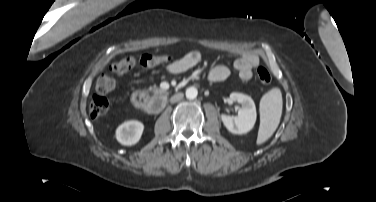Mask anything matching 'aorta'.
<instances>
[{
    "label": "aorta",
    "mask_w": 376,
    "mask_h": 202,
    "mask_svg": "<svg viewBox=\"0 0 376 202\" xmlns=\"http://www.w3.org/2000/svg\"><path fill=\"white\" fill-rule=\"evenodd\" d=\"M198 91L195 87H189L186 90V97L188 99H195L197 97Z\"/></svg>",
    "instance_id": "762f6f07"
}]
</instances>
